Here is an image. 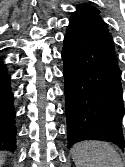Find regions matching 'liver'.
Here are the masks:
<instances>
[{
    "label": "liver",
    "mask_w": 125,
    "mask_h": 167,
    "mask_svg": "<svg viewBox=\"0 0 125 167\" xmlns=\"http://www.w3.org/2000/svg\"><path fill=\"white\" fill-rule=\"evenodd\" d=\"M4 163V153L0 152V166Z\"/></svg>",
    "instance_id": "1"
}]
</instances>
